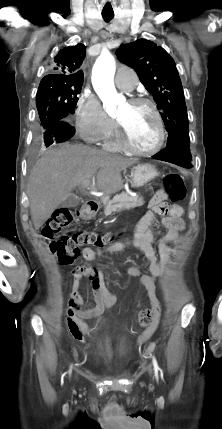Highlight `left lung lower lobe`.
Instances as JSON below:
<instances>
[{"label": "left lung lower lobe", "instance_id": "left-lung-lower-lobe-1", "mask_svg": "<svg viewBox=\"0 0 222 429\" xmlns=\"http://www.w3.org/2000/svg\"><path fill=\"white\" fill-rule=\"evenodd\" d=\"M153 158L170 162L184 168L193 167L189 145L184 143H174L169 145L159 153L155 154Z\"/></svg>", "mask_w": 222, "mask_h": 429}]
</instances>
